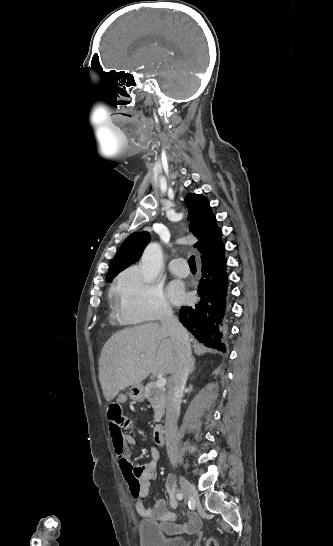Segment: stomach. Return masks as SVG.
<instances>
[{"instance_id": "0dacf381", "label": "stomach", "mask_w": 333, "mask_h": 546, "mask_svg": "<svg viewBox=\"0 0 333 546\" xmlns=\"http://www.w3.org/2000/svg\"><path fill=\"white\" fill-rule=\"evenodd\" d=\"M128 396L134 402H142L144 400V392L142 384L133 385L128 392Z\"/></svg>"}]
</instances>
